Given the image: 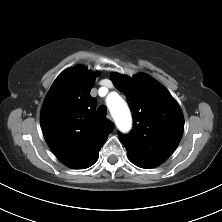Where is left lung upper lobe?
I'll return each mask as SVG.
<instances>
[{"label":"left lung upper lobe","mask_w":222,"mask_h":222,"mask_svg":"<svg viewBox=\"0 0 222 222\" xmlns=\"http://www.w3.org/2000/svg\"><path fill=\"white\" fill-rule=\"evenodd\" d=\"M112 81L126 95L133 112V130L129 135L119 133L130 160L141 168L160 165L175 151L183 134L178 103L149 75L113 74Z\"/></svg>","instance_id":"obj_1"}]
</instances>
